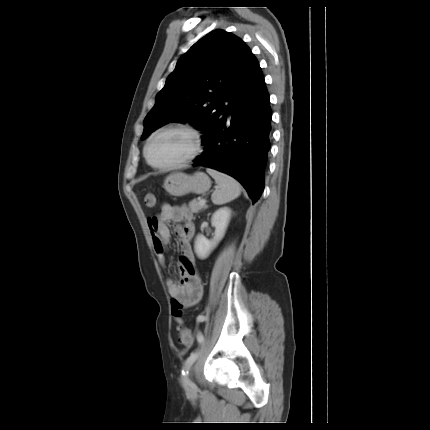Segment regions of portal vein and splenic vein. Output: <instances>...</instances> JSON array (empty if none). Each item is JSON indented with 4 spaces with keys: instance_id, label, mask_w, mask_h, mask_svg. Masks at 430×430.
Masks as SVG:
<instances>
[{
    "instance_id": "obj_1",
    "label": "portal vein and splenic vein",
    "mask_w": 430,
    "mask_h": 430,
    "mask_svg": "<svg viewBox=\"0 0 430 430\" xmlns=\"http://www.w3.org/2000/svg\"><path fill=\"white\" fill-rule=\"evenodd\" d=\"M199 204H200V205H204V204H205V199H201V200L199 201Z\"/></svg>"
}]
</instances>
